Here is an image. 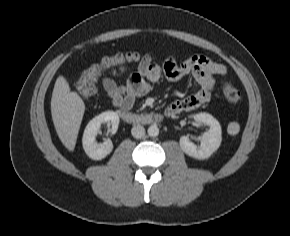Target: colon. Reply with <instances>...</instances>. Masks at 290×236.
<instances>
[{
    "label": "colon",
    "mask_w": 290,
    "mask_h": 236,
    "mask_svg": "<svg viewBox=\"0 0 290 236\" xmlns=\"http://www.w3.org/2000/svg\"><path fill=\"white\" fill-rule=\"evenodd\" d=\"M141 58L137 52L117 53L103 58L99 63L86 69L77 82V91L84 98H90L96 92L95 83L104 71L119 68L130 63H135ZM224 93L231 103H238L242 99L241 92L231 84H226Z\"/></svg>",
    "instance_id": "1"
}]
</instances>
